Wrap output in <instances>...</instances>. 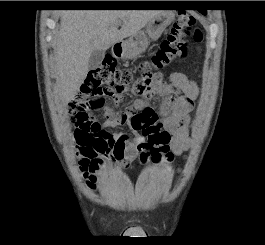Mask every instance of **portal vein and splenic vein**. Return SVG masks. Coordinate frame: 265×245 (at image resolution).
I'll return each mask as SVG.
<instances>
[{
	"label": "portal vein and splenic vein",
	"mask_w": 265,
	"mask_h": 245,
	"mask_svg": "<svg viewBox=\"0 0 265 245\" xmlns=\"http://www.w3.org/2000/svg\"><path fill=\"white\" fill-rule=\"evenodd\" d=\"M119 25H121V22H118V23H117V26H119Z\"/></svg>",
	"instance_id": "18ae733b"
}]
</instances>
